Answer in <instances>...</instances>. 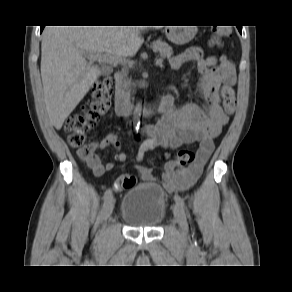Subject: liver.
<instances>
[{
  "mask_svg": "<svg viewBox=\"0 0 292 292\" xmlns=\"http://www.w3.org/2000/svg\"><path fill=\"white\" fill-rule=\"evenodd\" d=\"M152 26H46L41 44V78L51 123L60 130L101 71L86 60L90 53L122 60L137 53L140 36Z\"/></svg>",
  "mask_w": 292,
  "mask_h": 292,
  "instance_id": "1",
  "label": "liver"
}]
</instances>
